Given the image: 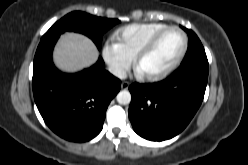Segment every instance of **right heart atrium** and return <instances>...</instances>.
<instances>
[{
  "mask_svg": "<svg viewBox=\"0 0 248 165\" xmlns=\"http://www.w3.org/2000/svg\"><path fill=\"white\" fill-rule=\"evenodd\" d=\"M102 56L109 71L118 78L124 77L132 65V58L116 41H108L104 44Z\"/></svg>",
  "mask_w": 248,
  "mask_h": 165,
  "instance_id": "right-heart-atrium-1",
  "label": "right heart atrium"
}]
</instances>
